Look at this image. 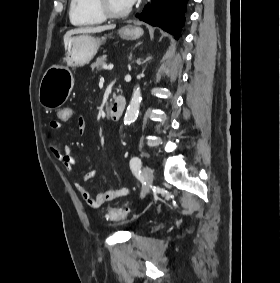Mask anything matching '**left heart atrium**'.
Masks as SVG:
<instances>
[{"label": "left heart atrium", "instance_id": "39dd6f15", "mask_svg": "<svg viewBox=\"0 0 280 283\" xmlns=\"http://www.w3.org/2000/svg\"><path fill=\"white\" fill-rule=\"evenodd\" d=\"M135 1H136V0H126L127 4H128L129 6H131L132 4H134Z\"/></svg>", "mask_w": 280, "mask_h": 283}]
</instances>
